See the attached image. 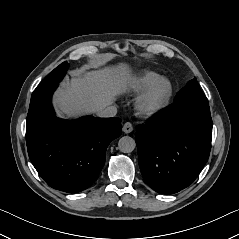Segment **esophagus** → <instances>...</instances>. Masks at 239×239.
Returning <instances> with one entry per match:
<instances>
[{"mask_svg":"<svg viewBox=\"0 0 239 239\" xmlns=\"http://www.w3.org/2000/svg\"><path fill=\"white\" fill-rule=\"evenodd\" d=\"M123 132L128 134V133H131L133 131V126L130 122H126L124 125H123V128H122Z\"/></svg>","mask_w":239,"mask_h":239,"instance_id":"1","label":"esophagus"}]
</instances>
